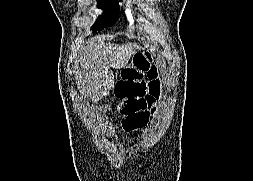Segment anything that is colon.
<instances>
[{
    "label": "colon",
    "mask_w": 253,
    "mask_h": 181,
    "mask_svg": "<svg viewBox=\"0 0 253 181\" xmlns=\"http://www.w3.org/2000/svg\"><path fill=\"white\" fill-rule=\"evenodd\" d=\"M148 69V54H136L133 64L123 69L122 78L116 86V96L121 101L123 127L129 132L144 128L149 120L153 100L147 93Z\"/></svg>",
    "instance_id": "1"
}]
</instances>
